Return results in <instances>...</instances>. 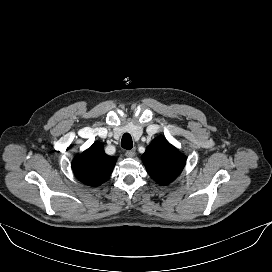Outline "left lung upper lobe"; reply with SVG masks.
<instances>
[{
	"mask_svg": "<svg viewBox=\"0 0 272 272\" xmlns=\"http://www.w3.org/2000/svg\"><path fill=\"white\" fill-rule=\"evenodd\" d=\"M142 161L150 176L159 184L166 185L182 172L186 157L164 137L158 136L146 148Z\"/></svg>",
	"mask_w": 272,
	"mask_h": 272,
	"instance_id": "obj_1",
	"label": "left lung upper lobe"
}]
</instances>
